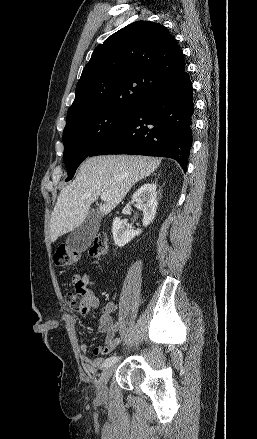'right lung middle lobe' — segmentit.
<instances>
[{"label":"right lung middle lobe","mask_w":257,"mask_h":439,"mask_svg":"<svg viewBox=\"0 0 257 439\" xmlns=\"http://www.w3.org/2000/svg\"><path fill=\"white\" fill-rule=\"evenodd\" d=\"M135 109L103 108L86 111L67 119L63 132L64 161L73 178L76 169L94 148L130 118Z\"/></svg>","instance_id":"1"}]
</instances>
